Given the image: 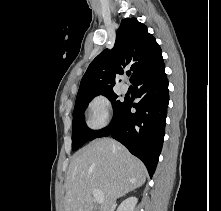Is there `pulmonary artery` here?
Returning <instances> with one entry per match:
<instances>
[{
  "mask_svg": "<svg viewBox=\"0 0 221 211\" xmlns=\"http://www.w3.org/2000/svg\"><path fill=\"white\" fill-rule=\"evenodd\" d=\"M121 89L123 92H127L129 90V85L127 83H123L121 85Z\"/></svg>",
  "mask_w": 221,
  "mask_h": 211,
  "instance_id": "1",
  "label": "pulmonary artery"
}]
</instances>
